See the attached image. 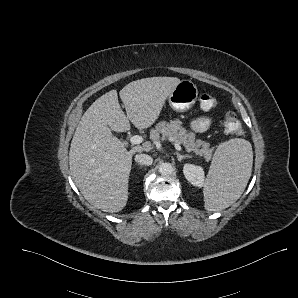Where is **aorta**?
<instances>
[{
  "instance_id": "aorta-1",
  "label": "aorta",
  "mask_w": 298,
  "mask_h": 298,
  "mask_svg": "<svg viewBox=\"0 0 298 298\" xmlns=\"http://www.w3.org/2000/svg\"><path fill=\"white\" fill-rule=\"evenodd\" d=\"M174 171V167L171 163L169 162H163L159 165L158 167V172L162 175V176H168L171 175Z\"/></svg>"
}]
</instances>
